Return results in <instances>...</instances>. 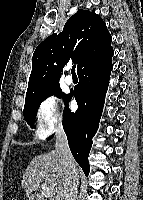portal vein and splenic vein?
I'll return each mask as SVG.
<instances>
[{
  "mask_svg": "<svg viewBox=\"0 0 143 200\" xmlns=\"http://www.w3.org/2000/svg\"><path fill=\"white\" fill-rule=\"evenodd\" d=\"M42 194L45 196V197H50L51 194H50V191L49 189L46 187V185H42Z\"/></svg>",
  "mask_w": 143,
  "mask_h": 200,
  "instance_id": "1",
  "label": "portal vein and splenic vein"
}]
</instances>
